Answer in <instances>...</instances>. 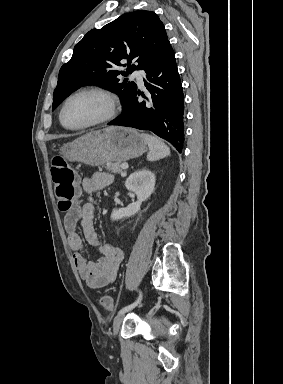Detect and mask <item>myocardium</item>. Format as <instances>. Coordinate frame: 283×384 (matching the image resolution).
<instances>
[{"instance_id": "f54148a6", "label": "myocardium", "mask_w": 283, "mask_h": 384, "mask_svg": "<svg viewBox=\"0 0 283 384\" xmlns=\"http://www.w3.org/2000/svg\"><path fill=\"white\" fill-rule=\"evenodd\" d=\"M84 94H92L101 98L105 103V110L98 118L94 119L93 121L87 124L77 126V127H69L64 122V110L71 99ZM116 112H117V103L113 94L109 90L104 89L102 87L92 86V87H84V88L78 89L77 91L67 96V98L64 100L62 104L59 118H60L61 125L65 129L70 131H81V130H86V129L111 121L115 117Z\"/></svg>"}]
</instances>
